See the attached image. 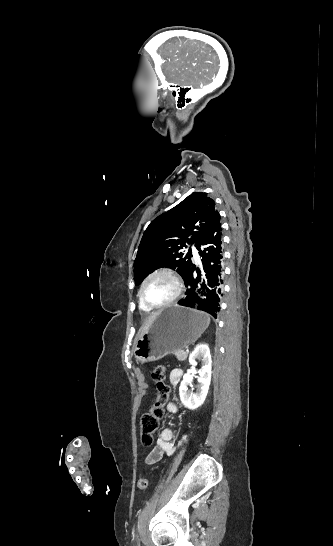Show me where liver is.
<instances>
[{
	"mask_svg": "<svg viewBox=\"0 0 333 546\" xmlns=\"http://www.w3.org/2000/svg\"><path fill=\"white\" fill-rule=\"evenodd\" d=\"M158 315V313H152L151 315H149V317L147 318L145 324L142 326L141 328V331H140V335L142 336L144 333L147 332V330L149 329L153 319Z\"/></svg>",
	"mask_w": 333,
	"mask_h": 546,
	"instance_id": "obj_1",
	"label": "liver"
}]
</instances>
